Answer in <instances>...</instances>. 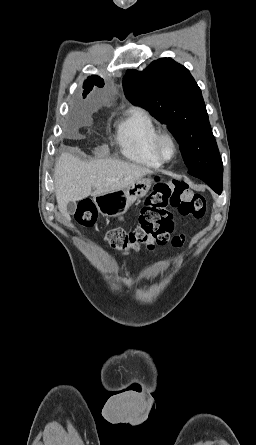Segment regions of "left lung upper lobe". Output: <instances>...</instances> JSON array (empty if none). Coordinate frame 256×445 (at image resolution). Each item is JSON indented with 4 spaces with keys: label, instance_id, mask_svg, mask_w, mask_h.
I'll use <instances>...</instances> for the list:
<instances>
[{
    "label": "left lung upper lobe",
    "instance_id": "obj_1",
    "mask_svg": "<svg viewBox=\"0 0 256 445\" xmlns=\"http://www.w3.org/2000/svg\"><path fill=\"white\" fill-rule=\"evenodd\" d=\"M123 88L131 103L167 124L189 171L223 170L201 90L188 69L161 58L143 71L128 70Z\"/></svg>",
    "mask_w": 256,
    "mask_h": 445
}]
</instances>
